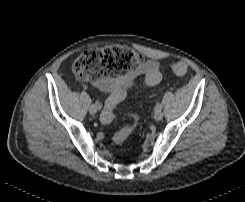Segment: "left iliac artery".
Masks as SVG:
<instances>
[{"label": "left iliac artery", "instance_id": "44dca946", "mask_svg": "<svg viewBox=\"0 0 245 202\" xmlns=\"http://www.w3.org/2000/svg\"><path fill=\"white\" fill-rule=\"evenodd\" d=\"M162 109V105L160 103H157L155 106V110H161Z\"/></svg>", "mask_w": 245, "mask_h": 202}]
</instances>
